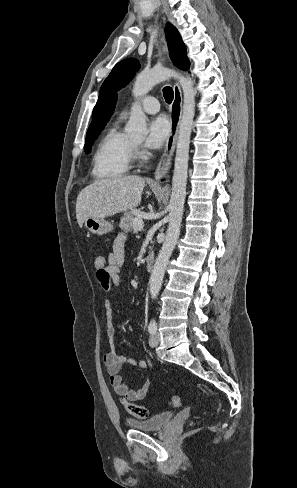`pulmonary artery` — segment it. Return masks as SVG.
<instances>
[{"mask_svg":"<svg viewBox=\"0 0 297 488\" xmlns=\"http://www.w3.org/2000/svg\"><path fill=\"white\" fill-rule=\"evenodd\" d=\"M141 107L145 112L149 114H155L160 110V104L158 100L152 96L144 97L141 101Z\"/></svg>","mask_w":297,"mask_h":488,"instance_id":"1","label":"pulmonary artery"}]
</instances>
